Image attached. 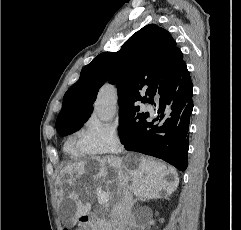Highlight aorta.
I'll list each match as a JSON object with an SVG mask.
<instances>
[{
	"mask_svg": "<svg viewBox=\"0 0 241 230\" xmlns=\"http://www.w3.org/2000/svg\"><path fill=\"white\" fill-rule=\"evenodd\" d=\"M115 89L106 84L101 87L94 103V111L99 120L109 122L113 119L116 110Z\"/></svg>",
	"mask_w": 241,
	"mask_h": 230,
	"instance_id": "1",
	"label": "aorta"
}]
</instances>
